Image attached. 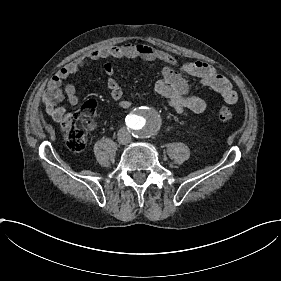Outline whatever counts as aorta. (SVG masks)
I'll list each match as a JSON object with an SVG mask.
<instances>
[{
  "label": "aorta",
  "instance_id": "762f6f07",
  "mask_svg": "<svg viewBox=\"0 0 281 281\" xmlns=\"http://www.w3.org/2000/svg\"><path fill=\"white\" fill-rule=\"evenodd\" d=\"M127 124L139 137H149L160 129L162 116L152 107L140 106L127 116Z\"/></svg>",
  "mask_w": 281,
  "mask_h": 281
}]
</instances>
